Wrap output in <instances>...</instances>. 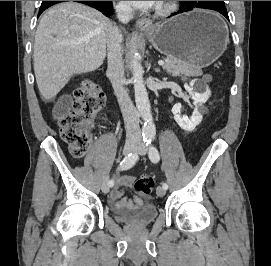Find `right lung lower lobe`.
Returning a JSON list of instances; mask_svg holds the SVG:
<instances>
[{"label":"right lung lower lobe","mask_w":271,"mask_h":266,"mask_svg":"<svg viewBox=\"0 0 271 266\" xmlns=\"http://www.w3.org/2000/svg\"><path fill=\"white\" fill-rule=\"evenodd\" d=\"M64 1H42L38 16L48 7ZM89 5L101 11L104 15L110 16L112 14V1H76Z\"/></svg>","instance_id":"obj_1"}]
</instances>
